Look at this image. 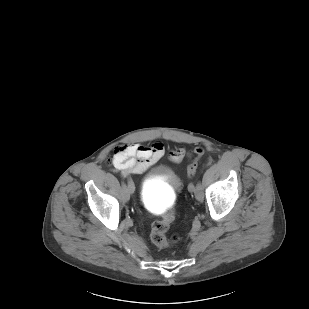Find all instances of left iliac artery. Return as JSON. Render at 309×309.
I'll return each instance as SVG.
<instances>
[{
  "label": "left iliac artery",
  "instance_id": "obj_1",
  "mask_svg": "<svg viewBox=\"0 0 309 309\" xmlns=\"http://www.w3.org/2000/svg\"><path fill=\"white\" fill-rule=\"evenodd\" d=\"M191 184H192V183H191ZM192 185H193V184H192ZM195 188H196V189H201V188H202L201 183H197L196 187H194V185H193V192L195 191Z\"/></svg>",
  "mask_w": 309,
  "mask_h": 309
}]
</instances>
